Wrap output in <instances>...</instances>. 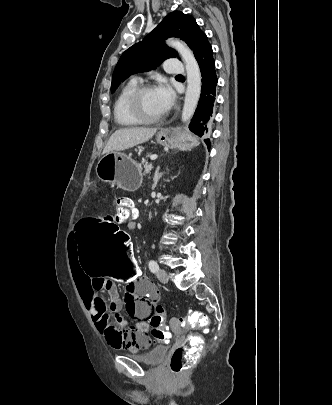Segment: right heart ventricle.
<instances>
[{
    "label": "right heart ventricle",
    "mask_w": 332,
    "mask_h": 405,
    "mask_svg": "<svg viewBox=\"0 0 332 405\" xmlns=\"http://www.w3.org/2000/svg\"><path fill=\"white\" fill-rule=\"evenodd\" d=\"M139 87V83L136 80H132L125 84L119 91L113 107L115 122L124 127H131L140 124L134 119L128 111V99L132 92Z\"/></svg>",
    "instance_id": "e07e8e85"
}]
</instances>
